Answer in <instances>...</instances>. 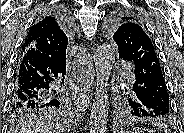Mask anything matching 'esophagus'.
I'll list each match as a JSON object with an SVG mask.
<instances>
[{
    "mask_svg": "<svg viewBox=\"0 0 184 133\" xmlns=\"http://www.w3.org/2000/svg\"><path fill=\"white\" fill-rule=\"evenodd\" d=\"M82 57H86L85 60L81 58L80 65L82 69L83 79L86 81V88H87L88 95L82 99L81 108L83 110H86L90 106L89 93H90V88L93 86V83H94V68L91 61L92 57L89 52L85 53L84 51L82 53Z\"/></svg>",
    "mask_w": 184,
    "mask_h": 133,
    "instance_id": "34e87169",
    "label": "esophagus"
}]
</instances>
